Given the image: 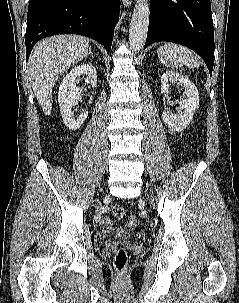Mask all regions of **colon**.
<instances>
[{"mask_svg":"<svg viewBox=\"0 0 239 303\" xmlns=\"http://www.w3.org/2000/svg\"><path fill=\"white\" fill-rule=\"evenodd\" d=\"M112 213L117 218H123L125 209L122 206L113 207ZM127 264V253L124 248H119L114 258V265L118 271H123Z\"/></svg>","mask_w":239,"mask_h":303,"instance_id":"5ec220e1","label":"colon"}]
</instances>
